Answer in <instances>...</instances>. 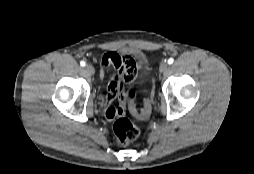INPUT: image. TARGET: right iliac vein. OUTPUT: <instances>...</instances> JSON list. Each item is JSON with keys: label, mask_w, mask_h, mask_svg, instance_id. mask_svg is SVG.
Returning <instances> with one entry per match:
<instances>
[{"label": "right iliac vein", "mask_w": 254, "mask_h": 174, "mask_svg": "<svg viewBox=\"0 0 254 174\" xmlns=\"http://www.w3.org/2000/svg\"><path fill=\"white\" fill-rule=\"evenodd\" d=\"M84 70L90 74V75H93L95 73V69L92 65L90 64H87L85 67H84Z\"/></svg>", "instance_id": "63e3f726"}]
</instances>
